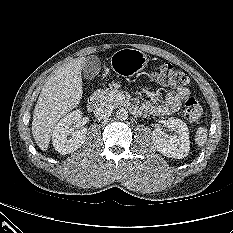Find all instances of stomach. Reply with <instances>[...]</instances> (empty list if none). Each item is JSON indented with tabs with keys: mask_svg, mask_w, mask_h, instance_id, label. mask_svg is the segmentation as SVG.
<instances>
[{
	"mask_svg": "<svg viewBox=\"0 0 233 233\" xmlns=\"http://www.w3.org/2000/svg\"><path fill=\"white\" fill-rule=\"evenodd\" d=\"M112 69L122 75L130 76L147 66L145 53L133 48H124L113 53L110 59Z\"/></svg>",
	"mask_w": 233,
	"mask_h": 233,
	"instance_id": "stomach-1",
	"label": "stomach"
}]
</instances>
